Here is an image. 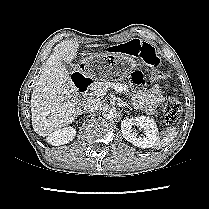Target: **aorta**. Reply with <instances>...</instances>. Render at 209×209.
<instances>
[{
    "label": "aorta",
    "mask_w": 209,
    "mask_h": 209,
    "mask_svg": "<svg viewBox=\"0 0 209 209\" xmlns=\"http://www.w3.org/2000/svg\"><path fill=\"white\" fill-rule=\"evenodd\" d=\"M102 115L106 119H114L117 115V110L111 105H106L105 107H103Z\"/></svg>",
    "instance_id": "obj_1"
}]
</instances>
